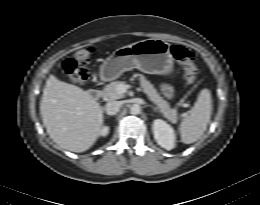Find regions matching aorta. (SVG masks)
<instances>
[{"label": "aorta", "mask_w": 260, "mask_h": 205, "mask_svg": "<svg viewBox=\"0 0 260 205\" xmlns=\"http://www.w3.org/2000/svg\"><path fill=\"white\" fill-rule=\"evenodd\" d=\"M141 112V107L140 105L138 104H133L131 107H130V113L133 114V115H137Z\"/></svg>", "instance_id": "aorta-1"}]
</instances>
